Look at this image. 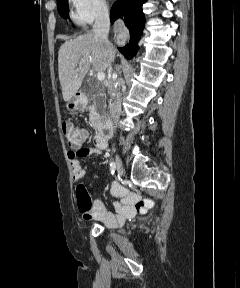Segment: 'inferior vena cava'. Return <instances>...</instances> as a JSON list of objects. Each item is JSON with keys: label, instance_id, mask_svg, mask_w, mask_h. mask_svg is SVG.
Instances as JSON below:
<instances>
[{"label": "inferior vena cava", "instance_id": "obj_1", "mask_svg": "<svg viewBox=\"0 0 240 288\" xmlns=\"http://www.w3.org/2000/svg\"><path fill=\"white\" fill-rule=\"evenodd\" d=\"M110 27L109 11L107 7H101L95 18L93 25V34L101 44L109 49L112 47L108 40V33ZM111 61H108V71L111 72ZM121 113V93L118 92L112 100L110 106V119L106 122V126L109 128V133L113 132V119H118Z\"/></svg>", "mask_w": 240, "mask_h": 288}]
</instances>
